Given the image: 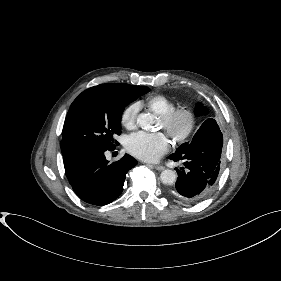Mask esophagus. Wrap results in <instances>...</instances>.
<instances>
[{
	"label": "esophagus",
	"instance_id": "esophagus-1",
	"mask_svg": "<svg viewBox=\"0 0 281 281\" xmlns=\"http://www.w3.org/2000/svg\"><path fill=\"white\" fill-rule=\"evenodd\" d=\"M153 167H154L156 170H159V171L164 170V166H161V165H154Z\"/></svg>",
	"mask_w": 281,
	"mask_h": 281
}]
</instances>
